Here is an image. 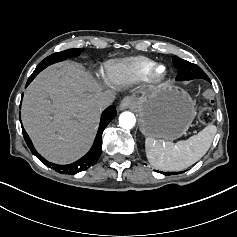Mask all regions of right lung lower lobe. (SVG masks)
<instances>
[{"mask_svg":"<svg viewBox=\"0 0 237 237\" xmlns=\"http://www.w3.org/2000/svg\"><path fill=\"white\" fill-rule=\"evenodd\" d=\"M35 77H36V75H34V74H32L30 76V78L27 81L26 87L28 86V84ZM115 116H116V109H115L114 106L108 107L103 112V114L101 116V122H100L99 130H98L97 136L95 138V143L93 144L92 148L81 159H79L78 161H76L72 164H68V165H58V164L51 163V162L47 161L46 159H44L35 150V148L32 144V141L30 140L28 134L25 132L24 129H22V133H23L24 139H25L28 147L30 148L31 152L42 163H44L45 165H47L48 167L54 169L55 171H57L59 173L74 175L78 172H81V171H84V170L88 169L89 167H91L92 165H94L97 162V160L99 159V157L101 155V152H102V133H103L104 129L106 128V126L109 124V122H111L114 119Z\"/></svg>","mask_w":237,"mask_h":237,"instance_id":"obj_1","label":"right lung lower lobe"}]
</instances>
